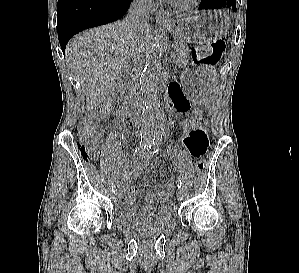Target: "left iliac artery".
<instances>
[{"instance_id": "left-iliac-artery-1", "label": "left iliac artery", "mask_w": 299, "mask_h": 273, "mask_svg": "<svg viewBox=\"0 0 299 273\" xmlns=\"http://www.w3.org/2000/svg\"><path fill=\"white\" fill-rule=\"evenodd\" d=\"M158 142H159V139L155 140V142L154 141L153 142H149L148 145H147V150L151 149V147L153 145L157 144ZM176 183H177L178 189H181L182 188V182H181V180L179 178L177 179Z\"/></svg>"}]
</instances>
